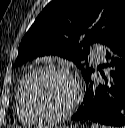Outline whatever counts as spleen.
I'll return each mask as SVG.
<instances>
[{
  "instance_id": "spleen-1",
  "label": "spleen",
  "mask_w": 125,
  "mask_h": 128,
  "mask_svg": "<svg viewBox=\"0 0 125 128\" xmlns=\"http://www.w3.org/2000/svg\"><path fill=\"white\" fill-rule=\"evenodd\" d=\"M92 128H104L103 126H100V125H98V124H93L92 125Z\"/></svg>"
}]
</instances>
